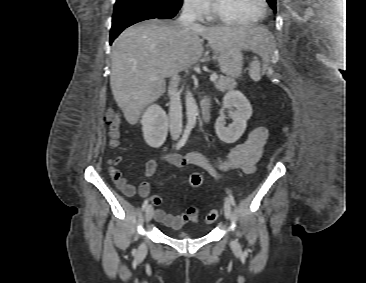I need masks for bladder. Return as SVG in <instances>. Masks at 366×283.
<instances>
[{
    "mask_svg": "<svg viewBox=\"0 0 366 283\" xmlns=\"http://www.w3.org/2000/svg\"><path fill=\"white\" fill-rule=\"evenodd\" d=\"M178 238H182V239H184V238H189L190 237V235H188L187 233H185V232H180V233H178L177 235H176Z\"/></svg>",
    "mask_w": 366,
    "mask_h": 283,
    "instance_id": "bladder-1",
    "label": "bladder"
}]
</instances>
